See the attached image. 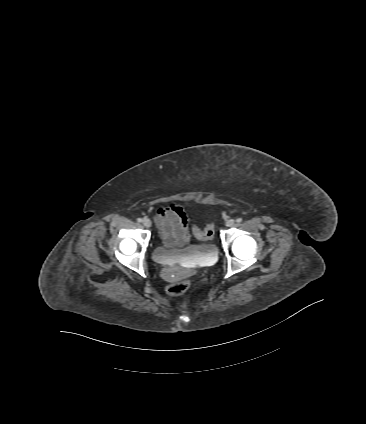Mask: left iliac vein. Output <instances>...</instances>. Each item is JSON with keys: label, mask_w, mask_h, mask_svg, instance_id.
Listing matches in <instances>:
<instances>
[{"label": "left iliac vein", "mask_w": 366, "mask_h": 424, "mask_svg": "<svg viewBox=\"0 0 366 424\" xmlns=\"http://www.w3.org/2000/svg\"><path fill=\"white\" fill-rule=\"evenodd\" d=\"M235 224V220H233V219H228L227 221H226V226H228V227H231V226H233Z\"/></svg>", "instance_id": "left-iliac-vein-1"}]
</instances>
